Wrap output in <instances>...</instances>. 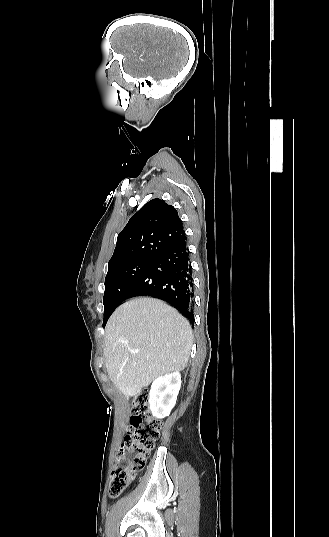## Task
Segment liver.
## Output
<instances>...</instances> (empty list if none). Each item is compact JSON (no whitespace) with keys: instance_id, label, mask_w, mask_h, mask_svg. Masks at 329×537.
<instances>
[{"instance_id":"1","label":"liver","mask_w":329,"mask_h":537,"mask_svg":"<svg viewBox=\"0 0 329 537\" xmlns=\"http://www.w3.org/2000/svg\"><path fill=\"white\" fill-rule=\"evenodd\" d=\"M105 330L108 376L128 397L139 395L153 379L187 365L191 326L163 301L148 297L127 301L115 310Z\"/></svg>"}]
</instances>
